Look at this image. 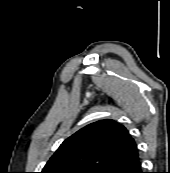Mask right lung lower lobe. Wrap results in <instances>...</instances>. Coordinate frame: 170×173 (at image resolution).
Instances as JSON below:
<instances>
[{
  "mask_svg": "<svg viewBox=\"0 0 170 173\" xmlns=\"http://www.w3.org/2000/svg\"><path fill=\"white\" fill-rule=\"evenodd\" d=\"M103 173H144L141 167V161L139 154L121 161L109 168H107Z\"/></svg>",
  "mask_w": 170,
  "mask_h": 173,
  "instance_id": "obj_1",
  "label": "right lung lower lobe"
}]
</instances>
